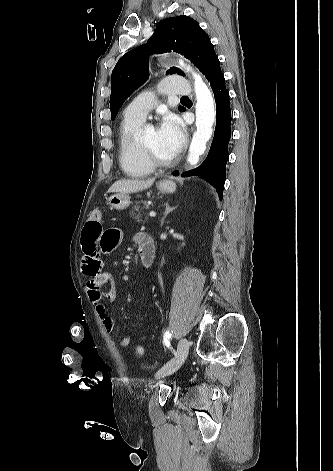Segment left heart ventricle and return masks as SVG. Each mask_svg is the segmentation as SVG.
<instances>
[{
  "mask_svg": "<svg viewBox=\"0 0 333 471\" xmlns=\"http://www.w3.org/2000/svg\"><path fill=\"white\" fill-rule=\"evenodd\" d=\"M144 144L151 150L157 157L168 160L172 159L171 156L163 147L158 130L149 131L142 139Z\"/></svg>",
  "mask_w": 333,
  "mask_h": 471,
  "instance_id": "obj_1",
  "label": "left heart ventricle"
}]
</instances>
